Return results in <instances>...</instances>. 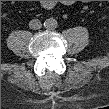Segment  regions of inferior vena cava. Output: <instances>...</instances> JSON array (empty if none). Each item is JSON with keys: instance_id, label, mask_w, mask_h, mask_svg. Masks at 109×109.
<instances>
[{"instance_id": "1", "label": "inferior vena cava", "mask_w": 109, "mask_h": 109, "mask_svg": "<svg viewBox=\"0 0 109 109\" xmlns=\"http://www.w3.org/2000/svg\"><path fill=\"white\" fill-rule=\"evenodd\" d=\"M29 27L31 29L37 30V29H40L42 27V23L38 19H32L29 22Z\"/></svg>"}]
</instances>
